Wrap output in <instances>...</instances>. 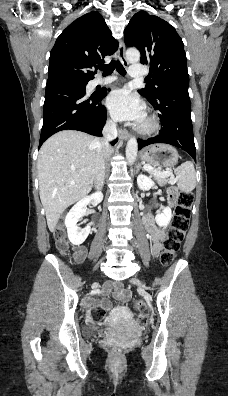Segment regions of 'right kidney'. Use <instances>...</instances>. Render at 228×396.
Here are the masks:
<instances>
[{"label":"right kidney","mask_w":228,"mask_h":396,"mask_svg":"<svg viewBox=\"0 0 228 396\" xmlns=\"http://www.w3.org/2000/svg\"><path fill=\"white\" fill-rule=\"evenodd\" d=\"M102 200V192H96L90 196H86L78 201L66 215L65 226L67 228L69 241L73 245L82 244L90 234V226L81 229L77 225L79 219L86 214L87 205L90 203L99 204Z\"/></svg>","instance_id":"obj_1"}]
</instances>
